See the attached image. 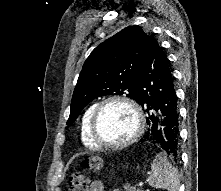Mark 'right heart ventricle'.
Masks as SVG:
<instances>
[{
  "label": "right heart ventricle",
  "mask_w": 221,
  "mask_h": 191,
  "mask_svg": "<svg viewBox=\"0 0 221 191\" xmlns=\"http://www.w3.org/2000/svg\"><path fill=\"white\" fill-rule=\"evenodd\" d=\"M96 107V104L90 105L86 111L84 112L81 123H80V138L83 143V145L90 149H96L100 147L98 144H96L90 135V121L92 114L94 112V109Z\"/></svg>",
  "instance_id": "obj_1"
}]
</instances>
